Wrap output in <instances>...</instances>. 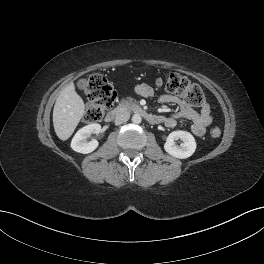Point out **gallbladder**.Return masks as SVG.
<instances>
[{
  "label": "gallbladder",
  "mask_w": 264,
  "mask_h": 264,
  "mask_svg": "<svg viewBox=\"0 0 264 264\" xmlns=\"http://www.w3.org/2000/svg\"><path fill=\"white\" fill-rule=\"evenodd\" d=\"M85 86H86V80L85 79H81V80H79L78 82H77V87L79 88V89H84L85 88Z\"/></svg>",
  "instance_id": "bac80fb5"
}]
</instances>
